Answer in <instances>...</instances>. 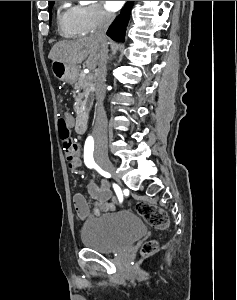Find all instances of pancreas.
Returning <instances> with one entry per match:
<instances>
[{
  "label": "pancreas",
  "instance_id": "pancreas-1",
  "mask_svg": "<svg viewBox=\"0 0 237 300\" xmlns=\"http://www.w3.org/2000/svg\"><path fill=\"white\" fill-rule=\"evenodd\" d=\"M95 77L92 73H80L74 89H83L84 93L75 97L74 111L79 113L80 117H88L90 109L87 103L91 101L90 95L93 93ZM83 97H86L83 101Z\"/></svg>",
  "mask_w": 237,
  "mask_h": 300
}]
</instances>
